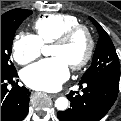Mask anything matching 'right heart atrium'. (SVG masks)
<instances>
[{"mask_svg": "<svg viewBox=\"0 0 121 121\" xmlns=\"http://www.w3.org/2000/svg\"><path fill=\"white\" fill-rule=\"evenodd\" d=\"M43 49V44L33 34H20L12 44L13 58L21 64H28L37 59Z\"/></svg>", "mask_w": 121, "mask_h": 121, "instance_id": "right-heart-atrium-1", "label": "right heart atrium"}]
</instances>
